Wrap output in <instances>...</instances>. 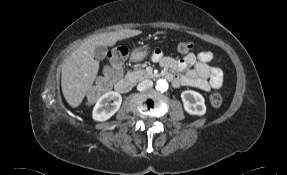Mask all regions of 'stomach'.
Returning a JSON list of instances; mask_svg holds the SVG:
<instances>
[{
    "label": "stomach",
    "mask_w": 287,
    "mask_h": 175,
    "mask_svg": "<svg viewBox=\"0 0 287 175\" xmlns=\"http://www.w3.org/2000/svg\"><path fill=\"white\" fill-rule=\"evenodd\" d=\"M149 52V49L147 47H138L134 49L131 53L132 60L139 61L143 59Z\"/></svg>",
    "instance_id": "stomach-1"
}]
</instances>
